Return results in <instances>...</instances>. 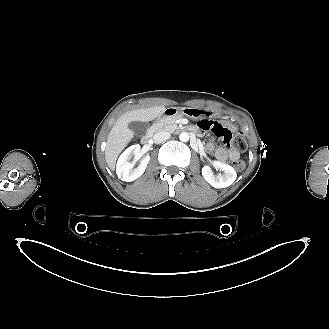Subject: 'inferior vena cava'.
I'll return each instance as SVG.
<instances>
[{"instance_id": "1", "label": "inferior vena cava", "mask_w": 329, "mask_h": 329, "mask_svg": "<svg viewBox=\"0 0 329 329\" xmlns=\"http://www.w3.org/2000/svg\"><path fill=\"white\" fill-rule=\"evenodd\" d=\"M170 136L171 134L169 132L159 131L154 135L153 140L155 143L159 144L165 142L167 139L170 138Z\"/></svg>"}]
</instances>
